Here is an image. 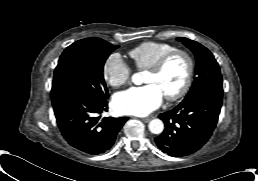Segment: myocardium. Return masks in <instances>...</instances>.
Listing matches in <instances>:
<instances>
[{"label": "myocardium", "mask_w": 258, "mask_h": 181, "mask_svg": "<svg viewBox=\"0 0 258 181\" xmlns=\"http://www.w3.org/2000/svg\"><path fill=\"white\" fill-rule=\"evenodd\" d=\"M175 56H182L186 62H187V73L185 77V81L181 88L171 94H166L165 97L170 100V101H175L187 94L189 91L192 81H193V75L195 71V61L192 57V55L183 49H174L163 56H161L152 66H150L147 71L152 72V73H160L166 64Z\"/></svg>", "instance_id": "1"}]
</instances>
